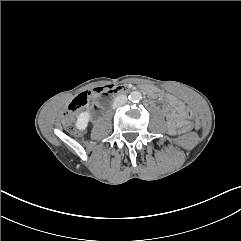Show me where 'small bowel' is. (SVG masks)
<instances>
[{
	"label": "small bowel",
	"instance_id": "c3829d8e",
	"mask_svg": "<svg viewBox=\"0 0 241 241\" xmlns=\"http://www.w3.org/2000/svg\"><path fill=\"white\" fill-rule=\"evenodd\" d=\"M169 103L173 107V111L168 115L169 130L174 133L176 127H181L187 124L185 121V106L175 97H168Z\"/></svg>",
	"mask_w": 241,
	"mask_h": 241
}]
</instances>
